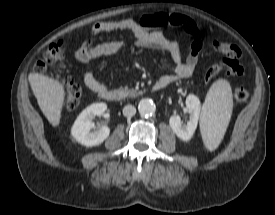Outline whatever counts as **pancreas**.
<instances>
[{"instance_id":"obj_1","label":"pancreas","mask_w":275,"mask_h":215,"mask_svg":"<svg viewBox=\"0 0 275 215\" xmlns=\"http://www.w3.org/2000/svg\"><path fill=\"white\" fill-rule=\"evenodd\" d=\"M120 92L123 97H127V96L136 97L139 94H142V92H137L136 89H129L128 87L121 88Z\"/></svg>"}]
</instances>
